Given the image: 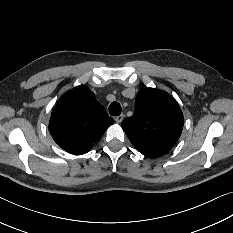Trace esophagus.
I'll return each mask as SVG.
<instances>
[{"instance_id": "1", "label": "esophagus", "mask_w": 233, "mask_h": 233, "mask_svg": "<svg viewBox=\"0 0 233 233\" xmlns=\"http://www.w3.org/2000/svg\"><path fill=\"white\" fill-rule=\"evenodd\" d=\"M123 119H124V115L121 114V115H119V116H117V117L115 118V121H116L117 123H120V122H122Z\"/></svg>"}]
</instances>
